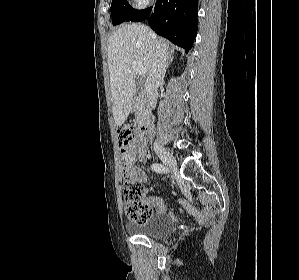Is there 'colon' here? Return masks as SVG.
Instances as JSON below:
<instances>
[{"mask_svg": "<svg viewBox=\"0 0 299 280\" xmlns=\"http://www.w3.org/2000/svg\"><path fill=\"white\" fill-rule=\"evenodd\" d=\"M117 136L123 163V199L127 218L136 223H143L152 215V210L142 198V185L128 175V146L135 138V132L129 125L117 127Z\"/></svg>", "mask_w": 299, "mask_h": 280, "instance_id": "colon-1", "label": "colon"}]
</instances>
